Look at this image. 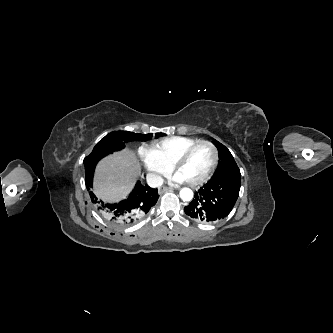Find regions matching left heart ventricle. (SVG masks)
Returning <instances> with one entry per match:
<instances>
[{"instance_id":"b2bd125f","label":"left heart ventricle","mask_w":333,"mask_h":333,"mask_svg":"<svg viewBox=\"0 0 333 333\" xmlns=\"http://www.w3.org/2000/svg\"><path fill=\"white\" fill-rule=\"evenodd\" d=\"M214 151L208 145H199L189 155L187 161L178 169L177 174L185 181H193L202 177L211 167Z\"/></svg>"}]
</instances>
